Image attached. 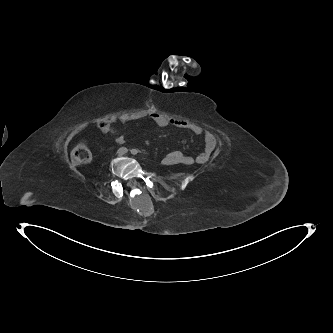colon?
I'll use <instances>...</instances> for the list:
<instances>
[{
  "label": "colon",
  "mask_w": 333,
  "mask_h": 333,
  "mask_svg": "<svg viewBox=\"0 0 333 333\" xmlns=\"http://www.w3.org/2000/svg\"><path fill=\"white\" fill-rule=\"evenodd\" d=\"M184 157V154L179 150L175 149L173 151H170L163 157V161L166 163H169L173 160H181ZM92 154L90 150L83 145L76 146L71 153V162L74 165H82L87 164L91 161Z\"/></svg>",
  "instance_id": "obj_1"
}]
</instances>
